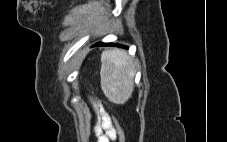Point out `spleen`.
<instances>
[{
	"label": "spleen",
	"instance_id": "obj_1",
	"mask_svg": "<svg viewBox=\"0 0 227 142\" xmlns=\"http://www.w3.org/2000/svg\"><path fill=\"white\" fill-rule=\"evenodd\" d=\"M101 88L115 104H124L133 92L134 60L121 49L106 50L101 55Z\"/></svg>",
	"mask_w": 227,
	"mask_h": 142
}]
</instances>
